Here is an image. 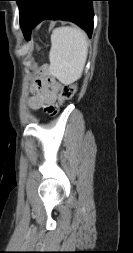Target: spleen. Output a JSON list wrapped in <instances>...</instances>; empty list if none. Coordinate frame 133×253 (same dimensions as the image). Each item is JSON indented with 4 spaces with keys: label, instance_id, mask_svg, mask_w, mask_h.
<instances>
[{
    "label": "spleen",
    "instance_id": "3e777b00",
    "mask_svg": "<svg viewBox=\"0 0 133 253\" xmlns=\"http://www.w3.org/2000/svg\"><path fill=\"white\" fill-rule=\"evenodd\" d=\"M87 54L84 31L69 26L54 29L49 53L51 75L63 84L77 81L83 73Z\"/></svg>",
    "mask_w": 133,
    "mask_h": 253
}]
</instances>
